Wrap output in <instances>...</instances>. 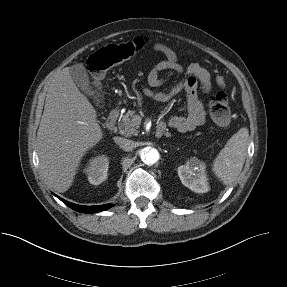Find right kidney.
Returning a JSON list of instances; mask_svg holds the SVG:
<instances>
[{
  "label": "right kidney",
  "instance_id": "obj_1",
  "mask_svg": "<svg viewBox=\"0 0 287 287\" xmlns=\"http://www.w3.org/2000/svg\"><path fill=\"white\" fill-rule=\"evenodd\" d=\"M109 159L105 155L97 156L89 160L85 173L88 181L93 185H99L107 179Z\"/></svg>",
  "mask_w": 287,
  "mask_h": 287
}]
</instances>
